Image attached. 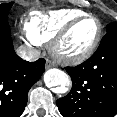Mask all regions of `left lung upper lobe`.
<instances>
[{
	"mask_svg": "<svg viewBox=\"0 0 117 117\" xmlns=\"http://www.w3.org/2000/svg\"><path fill=\"white\" fill-rule=\"evenodd\" d=\"M114 27H117V25H116V24H109V25L107 26V31H109L110 29H112V28H114Z\"/></svg>",
	"mask_w": 117,
	"mask_h": 117,
	"instance_id": "obj_1",
	"label": "left lung upper lobe"
}]
</instances>
